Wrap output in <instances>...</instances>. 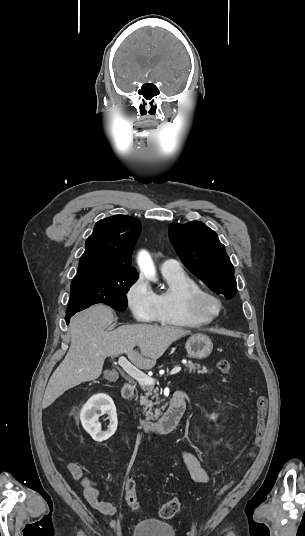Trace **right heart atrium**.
Returning a JSON list of instances; mask_svg holds the SVG:
<instances>
[{
	"instance_id": "right-heart-atrium-1",
	"label": "right heart atrium",
	"mask_w": 305,
	"mask_h": 536,
	"mask_svg": "<svg viewBox=\"0 0 305 536\" xmlns=\"http://www.w3.org/2000/svg\"><path fill=\"white\" fill-rule=\"evenodd\" d=\"M126 306L139 322L156 321L158 306L156 294L142 276H137L125 292Z\"/></svg>"
}]
</instances>
